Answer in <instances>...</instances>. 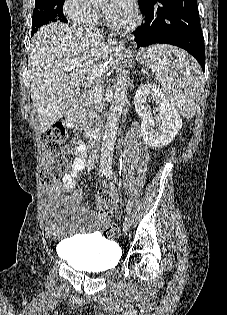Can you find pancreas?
<instances>
[{
    "label": "pancreas",
    "instance_id": "obj_1",
    "mask_svg": "<svg viewBox=\"0 0 227 315\" xmlns=\"http://www.w3.org/2000/svg\"><path fill=\"white\" fill-rule=\"evenodd\" d=\"M103 95L95 97L90 93L86 94L82 107L77 112V122L81 127L90 128L92 123L97 120V113L101 109Z\"/></svg>",
    "mask_w": 227,
    "mask_h": 315
}]
</instances>
